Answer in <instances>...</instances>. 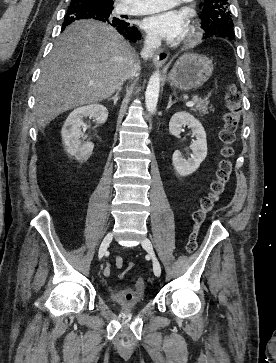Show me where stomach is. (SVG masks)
<instances>
[{
  "instance_id": "0dacf381",
  "label": "stomach",
  "mask_w": 276,
  "mask_h": 363,
  "mask_svg": "<svg viewBox=\"0 0 276 363\" xmlns=\"http://www.w3.org/2000/svg\"><path fill=\"white\" fill-rule=\"evenodd\" d=\"M213 72V62L209 58L186 53L175 62L168 80L172 87L182 91L197 90L204 85Z\"/></svg>"
}]
</instances>
